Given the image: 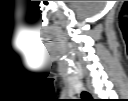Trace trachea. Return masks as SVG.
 Masks as SVG:
<instances>
[{
	"instance_id": "trachea-1",
	"label": "trachea",
	"mask_w": 128,
	"mask_h": 101,
	"mask_svg": "<svg viewBox=\"0 0 128 101\" xmlns=\"http://www.w3.org/2000/svg\"><path fill=\"white\" fill-rule=\"evenodd\" d=\"M81 97H82V101H90V99H91L90 94L86 91H83L81 93Z\"/></svg>"
}]
</instances>
